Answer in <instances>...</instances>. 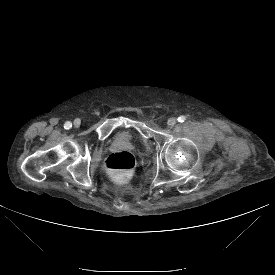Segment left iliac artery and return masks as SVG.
Wrapping results in <instances>:
<instances>
[{
	"mask_svg": "<svg viewBox=\"0 0 275 275\" xmlns=\"http://www.w3.org/2000/svg\"><path fill=\"white\" fill-rule=\"evenodd\" d=\"M186 120V117L185 116H180L178 117V121L179 122H184Z\"/></svg>",
	"mask_w": 275,
	"mask_h": 275,
	"instance_id": "1",
	"label": "left iliac artery"
}]
</instances>
